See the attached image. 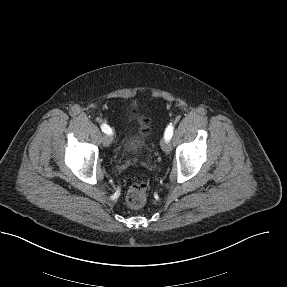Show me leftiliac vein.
I'll return each mask as SVG.
<instances>
[{
	"label": "left iliac vein",
	"mask_w": 287,
	"mask_h": 287,
	"mask_svg": "<svg viewBox=\"0 0 287 287\" xmlns=\"http://www.w3.org/2000/svg\"><path fill=\"white\" fill-rule=\"evenodd\" d=\"M161 148L165 153H170L172 149L170 142L166 139L161 140Z\"/></svg>",
	"instance_id": "4c4485c4"
}]
</instances>
